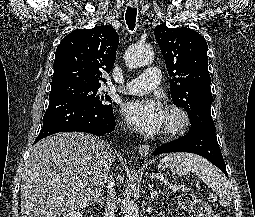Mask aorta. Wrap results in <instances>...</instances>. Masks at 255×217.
<instances>
[{
    "label": "aorta",
    "instance_id": "aorta-1",
    "mask_svg": "<svg viewBox=\"0 0 255 217\" xmlns=\"http://www.w3.org/2000/svg\"><path fill=\"white\" fill-rule=\"evenodd\" d=\"M124 58L128 68L136 69L150 64L154 59V53L151 48L132 45L126 50ZM124 217H139V208L133 200L126 201Z\"/></svg>",
    "mask_w": 255,
    "mask_h": 217
}]
</instances>
